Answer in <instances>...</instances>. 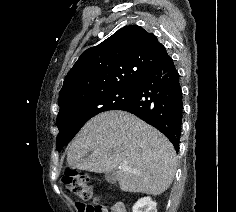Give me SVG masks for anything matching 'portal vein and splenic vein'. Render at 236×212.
<instances>
[{"label":"portal vein and splenic vein","instance_id":"portal-vein-and-splenic-vein-1","mask_svg":"<svg viewBox=\"0 0 236 212\" xmlns=\"http://www.w3.org/2000/svg\"><path fill=\"white\" fill-rule=\"evenodd\" d=\"M119 168L124 170V171H128L129 170V168L126 165H120ZM133 172L137 173L138 171H133Z\"/></svg>","mask_w":236,"mask_h":212}]
</instances>
